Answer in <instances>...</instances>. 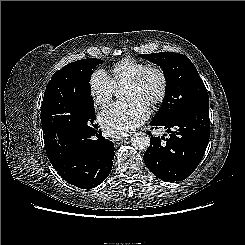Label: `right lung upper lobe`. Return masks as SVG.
<instances>
[{"mask_svg": "<svg viewBox=\"0 0 245 245\" xmlns=\"http://www.w3.org/2000/svg\"><path fill=\"white\" fill-rule=\"evenodd\" d=\"M67 70L64 66L57 71L49 81L44 93V98L41 106V122L43 131L47 129V119L52 117L58 110L64 95L67 91Z\"/></svg>", "mask_w": 245, "mask_h": 245, "instance_id": "cb5924a9", "label": "right lung upper lobe"}]
</instances>
